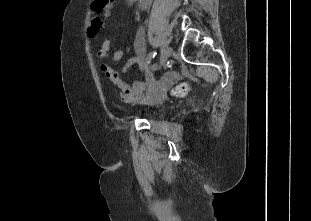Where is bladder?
Here are the masks:
<instances>
[{
  "mask_svg": "<svg viewBox=\"0 0 311 221\" xmlns=\"http://www.w3.org/2000/svg\"><path fill=\"white\" fill-rule=\"evenodd\" d=\"M157 108H158L157 104H152L151 107H148L147 109H145V113L151 115L154 113V110H156Z\"/></svg>",
  "mask_w": 311,
  "mask_h": 221,
  "instance_id": "bladder-1",
  "label": "bladder"
}]
</instances>
